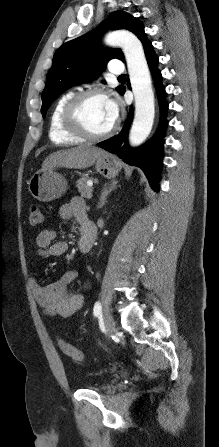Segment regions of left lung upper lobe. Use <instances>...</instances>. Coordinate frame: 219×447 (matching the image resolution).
Listing matches in <instances>:
<instances>
[{"label":"left lung upper lobe","instance_id":"obj_1","mask_svg":"<svg viewBox=\"0 0 219 447\" xmlns=\"http://www.w3.org/2000/svg\"><path fill=\"white\" fill-rule=\"evenodd\" d=\"M127 29L141 41L146 37L143 24L124 11H115L98 28L62 45L53 57L52 67L46 78V87L42 92L43 117L51 103L70 87L96 79L104 71L111 59L124 60L120 49H104L100 46V37L106 29ZM123 86L116 90L121 94Z\"/></svg>","mask_w":219,"mask_h":447}]
</instances>
